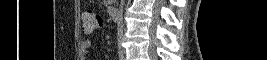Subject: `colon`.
I'll return each instance as SVG.
<instances>
[{
    "label": "colon",
    "instance_id": "colon-1",
    "mask_svg": "<svg viewBox=\"0 0 267 60\" xmlns=\"http://www.w3.org/2000/svg\"><path fill=\"white\" fill-rule=\"evenodd\" d=\"M101 25V17L92 11H86L82 15V29L86 33H91Z\"/></svg>",
    "mask_w": 267,
    "mask_h": 60
}]
</instances>
